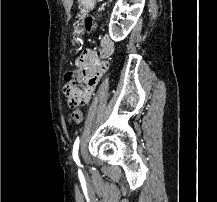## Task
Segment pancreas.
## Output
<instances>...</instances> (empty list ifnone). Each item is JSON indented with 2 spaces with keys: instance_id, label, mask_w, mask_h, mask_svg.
Returning <instances> with one entry per match:
<instances>
[{
  "instance_id": "pancreas-1",
  "label": "pancreas",
  "mask_w": 217,
  "mask_h": 202,
  "mask_svg": "<svg viewBox=\"0 0 217 202\" xmlns=\"http://www.w3.org/2000/svg\"><path fill=\"white\" fill-rule=\"evenodd\" d=\"M96 34H99V31H96Z\"/></svg>"
}]
</instances>
